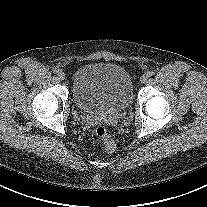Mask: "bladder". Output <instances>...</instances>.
Listing matches in <instances>:
<instances>
[{"label": "bladder", "instance_id": "obj_1", "mask_svg": "<svg viewBox=\"0 0 207 207\" xmlns=\"http://www.w3.org/2000/svg\"><path fill=\"white\" fill-rule=\"evenodd\" d=\"M72 94L76 106L84 113H114L130 105L133 83L128 71L119 65L91 63L76 71Z\"/></svg>", "mask_w": 207, "mask_h": 207}]
</instances>
